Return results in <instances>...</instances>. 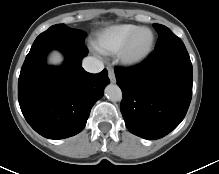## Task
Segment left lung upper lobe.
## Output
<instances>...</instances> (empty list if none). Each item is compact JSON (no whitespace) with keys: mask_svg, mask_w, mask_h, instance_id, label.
<instances>
[{"mask_svg":"<svg viewBox=\"0 0 219 174\" xmlns=\"http://www.w3.org/2000/svg\"><path fill=\"white\" fill-rule=\"evenodd\" d=\"M153 27L158 33V40L154 50H159L166 47H185L179 37H177L169 28L161 24H153Z\"/></svg>","mask_w":219,"mask_h":174,"instance_id":"left-lung-upper-lobe-1","label":"left lung upper lobe"}]
</instances>
